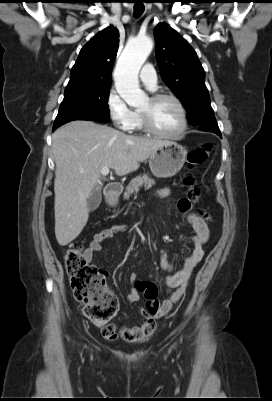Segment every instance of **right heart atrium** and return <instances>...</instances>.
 Masks as SVG:
<instances>
[{"mask_svg":"<svg viewBox=\"0 0 272 401\" xmlns=\"http://www.w3.org/2000/svg\"><path fill=\"white\" fill-rule=\"evenodd\" d=\"M105 104L114 125L121 130H130L135 112L114 88L107 93Z\"/></svg>","mask_w":272,"mask_h":401,"instance_id":"1","label":"right heart atrium"}]
</instances>
